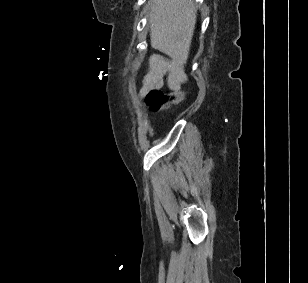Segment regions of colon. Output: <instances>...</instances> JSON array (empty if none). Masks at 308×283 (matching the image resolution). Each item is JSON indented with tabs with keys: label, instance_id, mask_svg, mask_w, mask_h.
I'll return each mask as SVG.
<instances>
[{
	"label": "colon",
	"instance_id": "1",
	"mask_svg": "<svg viewBox=\"0 0 308 283\" xmlns=\"http://www.w3.org/2000/svg\"><path fill=\"white\" fill-rule=\"evenodd\" d=\"M183 99L184 93L181 91L165 93L161 90L154 89L146 94V102L154 110L168 108Z\"/></svg>",
	"mask_w": 308,
	"mask_h": 283
}]
</instances>
